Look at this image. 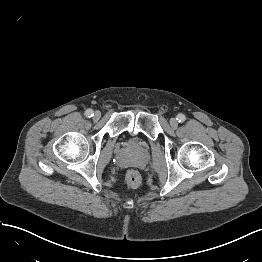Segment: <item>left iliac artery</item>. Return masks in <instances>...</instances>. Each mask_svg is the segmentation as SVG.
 I'll return each mask as SVG.
<instances>
[{
  "label": "left iliac artery",
  "mask_w": 262,
  "mask_h": 262,
  "mask_svg": "<svg viewBox=\"0 0 262 262\" xmlns=\"http://www.w3.org/2000/svg\"><path fill=\"white\" fill-rule=\"evenodd\" d=\"M185 119H186L185 115H183V114H178L177 120H178L179 122H184Z\"/></svg>",
  "instance_id": "1"
}]
</instances>
